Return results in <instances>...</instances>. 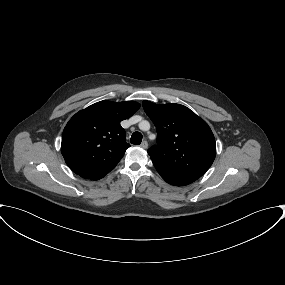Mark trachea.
I'll use <instances>...</instances> for the list:
<instances>
[{"label": "trachea", "mask_w": 285, "mask_h": 285, "mask_svg": "<svg viewBox=\"0 0 285 285\" xmlns=\"http://www.w3.org/2000/svg\"><path fill=\"white\" fill-rule=\"evenodd\" d=\"M131 144L139 145L142 141V134L140 132H134L131 136Z\"/></svg>", "instance_id": "3493384b"}]
</instances>
